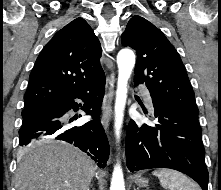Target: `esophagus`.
<instances>
[{"instance_id": "esophagus-1", "label": "esophagus", "mask_w": 221, "mask_h": 190, "mask_svg": "<svg viewBox=\"0 0 221 190\" xmlns=\"http://www.w3.org/2000/svg\"><path fill=\"white\" fill-rule=\"evenodd\" d=\"M114 84H115V74L112 70L106 79V91L104 96L103 108H102V124L107 130L112 118V101L114 97Z\"/></svg>"}]
</instances>
